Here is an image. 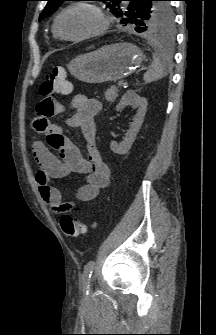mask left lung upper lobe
<instances>
[{"instance_id":"1","label":"left lung upper lobe","mask_w":216,"mask_h":335,"mask_svg":"<svg viewBox=\"0 0 216 335\" xmlns=\"http://www.w3.org/2000/svg\"><path fill=\"white\" fill-rule=\"evenodd\" d=\"M46 7L41 12L39 21L43 20L67 0H46ZM106 2L111 12L123 26L132 25L137 32L172 35L174 17L169 0H99Z\"/></svg>"}]
</instances>
